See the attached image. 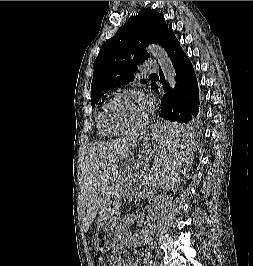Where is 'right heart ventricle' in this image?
<instances>
[{
  "label": "right heart ventricle",
  "instance_id": "e07e8e85",
  "mask_svg": "<svg viewBox=\"0 0 253 266\" xmlns=\"http://www.w3.org/2000/svg\"><path fill=\"white\" fill-rule=\"evenodd\" d=\"M99 113H100V110L97 114V117H96V131H97V135L99 138H107V137H110V135L106 134L103 132V130L101 129L100 127V124H99Z\"/></svg>",
  "mask_w": 253,
  "mask_h": 266
}]
</instances>
